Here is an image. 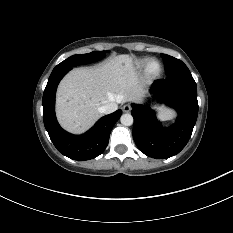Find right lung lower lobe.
<instances>
[{
	"instance_id": "obj_1",
	"label": "right lung lower lobe",
	"mask_w": 233,
	"mask_h": 233,
	"mask_svg": "<svg viewBox=\"0 0 233 233\" xmlns=\"http://www.w3.org/2000/svg\"><path fill=\"white\" fill-rule=\"evenodd\" d=\"M72 67L54 69L43 94L44 125L57 150L74 160H89L99 156L107 147L110 132L122 114L121 110L102 117L83 135H72L64 131L55 116V94L60 80Z\"/></svg>"
}]
</instances>
